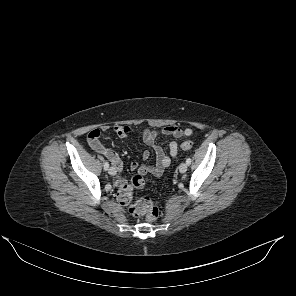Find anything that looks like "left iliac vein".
I'll list each match as a JSON object with an SVG mask.
<instances>
[{"label": "left iliac vein", "instance_id": "left-iliac-vein-1", "mask_svg": "<svg viewBox=\"0 0 296 296\" xmlns=\"http://www.w3.org/2000/svg\"><path fill=\"white\" fill-rule=\"evenodd\" d=\"M187 168H188L187 163H181L180 166H179V171L181 173H185L187 171Z\"/></svg>", "mask_w": 296, "mask_h": 296}]
</instances>
